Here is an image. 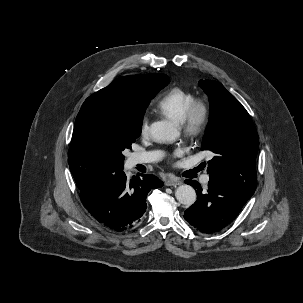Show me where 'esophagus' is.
Instances as JSON below:
<instances>
[{"label":"esophagus","mask_w":303,"mask_h":303,"mask_svg":"<svg viewBox=\"0 0 303 303\" xmlns=\"http://www.w3.org/2000/svg\"><path fill=\"white\" fill-rule=\"evenodd\" d=\"M180 184H182V181L179 180L178 178L168 179L165 181L166 186H177Z\"/></svg>","instance_id":"esophagus-1"}]
</instances>
